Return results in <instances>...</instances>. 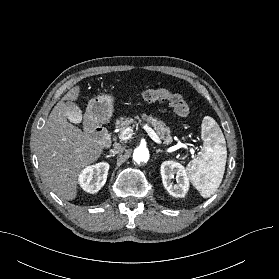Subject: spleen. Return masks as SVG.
<instances>
[{
	"instance_id": "spleen-1",
	"label": "spleen",
	"mask_w": 279,
	"mask_h": 279,
	"mask_svg": "<svg viewBox=\"0 0 279 279\" xmlns=\"http://www.w3.org/2000/svg\"><path fill=\"white\" fill-rule=\"evenodd\" d=\"M202 150L187 165L193 186L203 198H209L220 186L225 172L227 148L224 135L217 122L209 116L201 125Z\"/></svg>"
}]
</instances>
